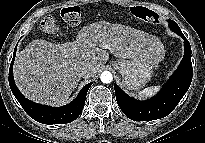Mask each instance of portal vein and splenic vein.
Segmentation results:
<instances>
[{
  "instance_id": "18ae733b",
  "label": "portal vein and splenic vein",
  "mask_w": 205,
  "mask_h": 143,
  "mask_svg": "<svg viewBox=\"0 0 205 143\" xmlns=\"http://www.w3.org/2000/svg\"><path fill=\"white\" fill-rule=\"evenodd\" d=\"M99 46L102 48H108V45H106V44H100Z\"/></svg>"
}]
</instances>
